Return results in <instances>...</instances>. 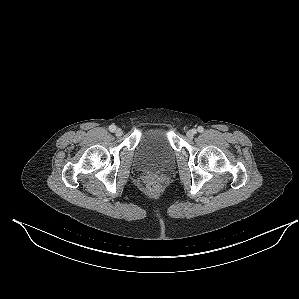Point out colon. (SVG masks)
I'll use <instances>...</instances> for the list:
<instances>
[{"instance_id": "obj_1", "label": "colon", "mask_w": 299, "mask_h": 299, "mask_svg": "<svg viewBox=\"0 0 299 299\" xmlns=\"http://www.w3.org/2000/svg\"><path fill=\"white\" fill-rule=\"evenodd\" d=\"M160 185L156 180H151L148 183V189L151 193H157L159 191Z\"/></svg>"}]
</instances>
